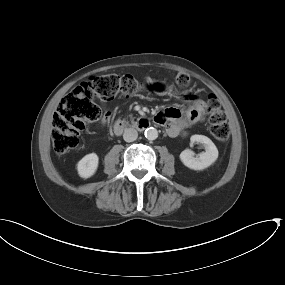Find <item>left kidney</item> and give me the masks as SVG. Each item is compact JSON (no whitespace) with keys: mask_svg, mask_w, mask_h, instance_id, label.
<instances>
[{"mask_svg":"<svg viewBox=\"0 0 285 285\" xmlns=\"http://www.w3.org/2000/svg\"><path fill=\"white\" fill-rule=\"evenodd\" d=\"M191 144L197 142L203 144L205 152L194 156L193 151L186 149L181 152L180 160L188 168L193 170H203L212 165L218 158V149L215 144L204 135H192L190 138Z\"/></svg>","mask_w":285,"mask_h":285,"instance_id":"obj_1","label":"left kidney"}]
</instances>
